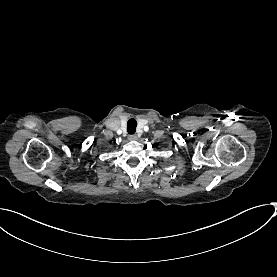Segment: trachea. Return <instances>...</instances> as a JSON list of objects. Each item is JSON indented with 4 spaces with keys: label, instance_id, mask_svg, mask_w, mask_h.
Masks as SVG:
<instances>
[{
    "label": "trachea",
    "instance_id": "1",
    "mask_svg": "<svg viewBox=\"0 0 277 277\" xmlns=\"http://www.w3.org/2000/svg\"><path fill=\"white\" fill-rule=\"evenodd\" d=\"M137 127V121L135 119H129L127 122V132L129 134H134Z\"/></svg>",
    "mask_w": 277,
    "mask_h": 277
}]
</instances>
